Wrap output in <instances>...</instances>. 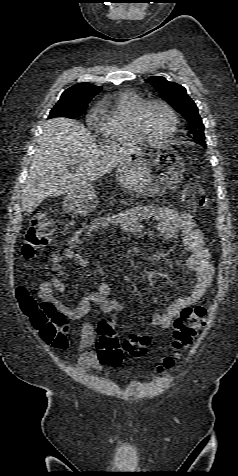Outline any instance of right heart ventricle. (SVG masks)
Masks as SVG:
<instances>
[{
  "instance_id": "1",
  "label": "right heart ventricle",
  "mask_w": 238,
  "mask_h": 476,
  "mask_svg": "<svg viewBox=\"0 0 238 476\" xmlns=\"http://www.w3.org/2000/svg\"><path fill=\"white\" fill-rule=\"evenodd\" d=\"M144 99L132 91H122L98 107L96 129L110 144L139 145L144 140L135 128V115Z\"/></svg>"
}]
</instances>
